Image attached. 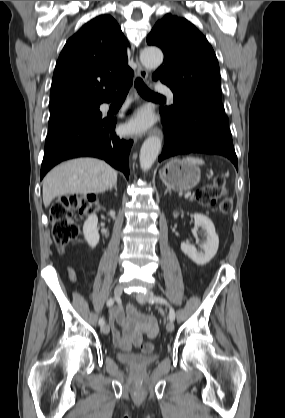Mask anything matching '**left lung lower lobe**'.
<instances>
[{"label":"left lung lower lobe","mask_w":285,"mask_h":418,"mask_svg":"<svg viewBox=\"0 0 285 418\" xmlns=\"http://www.w3.org/2000/svg\"><path fill=\"white\" fill-rule=\"evenodd\" d=\"M161 116L165 139L159 161L198 152L225 156L238 168L225 113L205 107H193L175 116Z\"/></svg>","instance_id":"left-lung-lower-lobe-1"}]
</instances>
